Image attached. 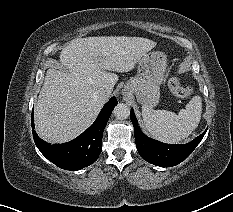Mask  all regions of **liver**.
<instances>
[{
	"label": "liver",
	"instance_id": "1",
	"mask_svg": "<svg viewBox=\"0 0 233 212\" xmlns=\"http://www.w3.org/2000/svg\"><path fill=\"white\" fill-rule=\"evenodd\" d=\"M156 46L142 37L100 36L72 40L60 53V67L50 68L35 106L38 135L49 143L68 142L95 120L118 75L131 71Z\"/></svg>",
	"mask_w": 233,
	"mask_h": 212
}]
</instances>
